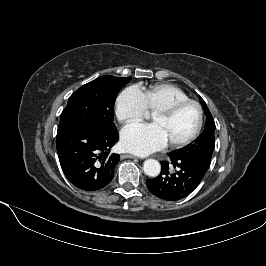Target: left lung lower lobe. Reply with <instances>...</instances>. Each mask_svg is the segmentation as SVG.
Instances as JSON below:
<instances>
[{
	"instance_id": "0a47b994",
	"label": "left lung lower lobe",
	"mask_w": 266,
	"mask_h": 266,
	"mask_svg": "<svg viewBox=\"0 0 266 266\" xmlns=\"http://www.w3.org/2000/svg\"><path fill=\"white\" fill-rule=\"evenodd\" d=\"M169 157L170 161L161 162L160 175L147 179L146 185L153 195L164 200L177 201L193 192L205 174L180 159L174 152L169 153Z\"/></svg>"
}]
</instances>
